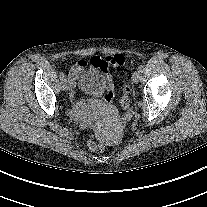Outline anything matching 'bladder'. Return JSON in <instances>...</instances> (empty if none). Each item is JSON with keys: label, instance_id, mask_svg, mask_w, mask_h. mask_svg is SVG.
I'll return each instance as SVG.
<instances>
[{"label": "bladder", "instance_id": "31cf9c89", "mask_svg": "<svg viewBox=\"0 0 207 207\" xmlns=\"http://www.w3.org/2000/svg\"><path fill=\"white\" fill-rule=\"evenodd\" d=\"M79 89L89 95H99L105 87V75L98 66L89 67L78 79Z\"/></svg>", "mask_w": 207, "mask_h": 207}]
</instances>
